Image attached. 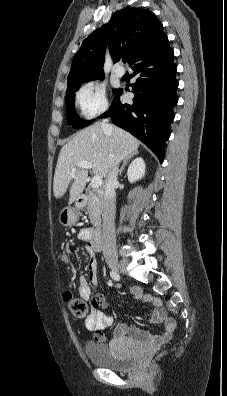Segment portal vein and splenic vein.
Returning a JSON list of instances; mask_svg holds the SVG:
<instances>
[{
  "label": "portal vein and splenic vein",
  "mask_w": 227,
  "mask_h": 396,
  "mask_svg": "<svg viewBox=\"0 0 227 396\" xmlns=\"http://www.w3.org/2000/svg\"><path fill=\"white\" fill-rule=\"evenodd\" d=\"M77 166L84 169H91L92 163L89 161H81L77 164ZM75 170H76L75 168L72 169V174L75 172ZM101 184H102V178L98 175H95L91 180V187L97 189L101 186Z\"/></svg>",
  "instance_id": "1"
}]
</instances>
